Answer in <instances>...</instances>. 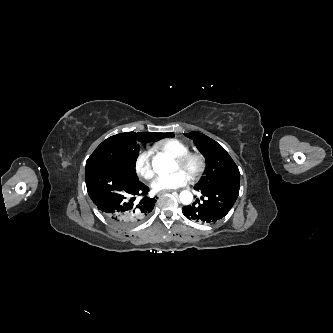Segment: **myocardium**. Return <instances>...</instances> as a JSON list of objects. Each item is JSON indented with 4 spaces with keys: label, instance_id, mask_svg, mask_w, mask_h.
Wrapping results in <instances>:
<instances>
[{
    "label": "myocardium",
    "instance_id": "obj_1",
    "mask_svg": "<svg viewBox=\"0 0 333 333\" xmlns=\"http://www.w3.org/2000/svg\"><path fill=\"white\" fill-rule=\"evenodd\" d=\"M177 164L181 168H187L191 164H195V169L188 175L190 179H199L206 169V159L201 153L188 152L187 154L177 158Z\"/></svg>",
    "mask_w": 333,
    "mask_h": 333
}]
</instances>
